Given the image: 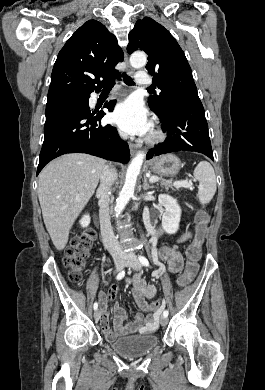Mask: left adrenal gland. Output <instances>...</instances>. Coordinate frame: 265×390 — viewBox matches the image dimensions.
I'll list each match as a JSON object with an SVG mask.
<instances>
[{"mask_svg":"<svg viewBox=\"0 0 265 390\" xmlns=\"http://www.w3.org/2000/svg\"><path fill=\"white\" fill-rule=\"evenodd\" d=\"M143 189L144 190H147V189H150V188H154V186H151L149 183H148V180H147V177L144 176V182H143Z\"/></svg>","mask_w":265,"mask_h":390,"instance_id":"a2214340","label":"left adrenal gland"}]
</instances>
